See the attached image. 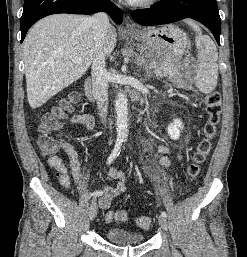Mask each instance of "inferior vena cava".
<instances>
[{
  "instance_id": "obj_1",
  "label": "inferior vena cava",
  "mask_w": 247,
  "mask_h": 257,
  "mask_svg": "<svg viewBox=\"0 0 247 257\" xmlns=\"http://www.w3.org/2000/svg\"><path fill=\"white\" fill-rule=\"evenodd\" d=\"M90 21L92 23L96 48V55L91 66L93 96L97 101L101 121L103 124H106L109 73L105 68L103 44L110 24L108 15L103 12L93 15Z\"/></svg>"
}]
</instances>
